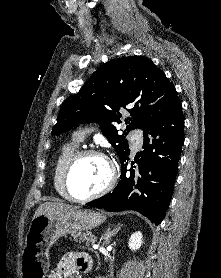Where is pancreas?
I'll use <instances>...</instances> for the list:
<instances>
[{
	"label": "pancreas",
	"instance_id": "pancreas-1",
	"mask_svg": "<svg viewBox=\"0 0 221 278\" xmlns=\"http://www.w3.org/2000/svg\"><path fill=\"white\" fill-rule=\"evenodd\" d=\"M72 237L74 241H79V243L86 242V245L93 244L96 241V237L91 232L72 233Z\"/></svg>",
	"mask_w": 221,
	"mask_h": 278
}]
</instances>
